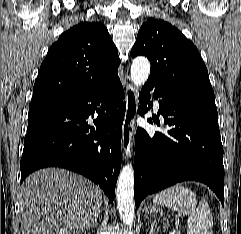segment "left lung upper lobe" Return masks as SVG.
I'll list each match as a JSON object with an SVG mask.
<instances>
[{
  "mask_svg": "<svg viewBox=\"0 0 241 234\" xmlns=\"http://www.w3.org/2000/svg\"><path fill=\"white\" fill-rule=\"evenodd\" d=\"M146 56L151 63L148 79L168 91L216 107L208 71L196 46L175 26L149 18L137 35L131 56Z\"/></svg>",
  "mask_w": 241,
  "mask_h": 234,
  "instance_id": "left-lung-upper-lobe-1",
  "label": "left lung upper lobe"
}]
</instances>
